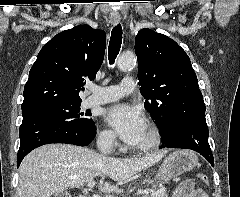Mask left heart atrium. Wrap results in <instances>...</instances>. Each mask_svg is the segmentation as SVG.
Returning a JSON list of instances; mask_svg holds the SVG:
<instances>
[{
	"label": "left heart atrium",
	"mask_w": 240,
	"mask_h": 197,
	"mask_svg": "<svg viewBox=\"0 0 240 197\" xmlns=\"http://www.w3.org/2000/svg\"><path fill=\"white\" fill-rule=\"evenodd\" d=\"M105 121L120 138L134 145L142 137L146 129L145 118L136 106L121 103L108 108L104 113Z\"/></svg>",
	"instance_id": "obj_1"
}]
</instances>
